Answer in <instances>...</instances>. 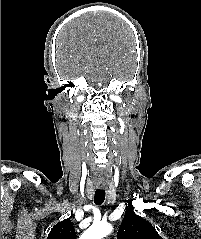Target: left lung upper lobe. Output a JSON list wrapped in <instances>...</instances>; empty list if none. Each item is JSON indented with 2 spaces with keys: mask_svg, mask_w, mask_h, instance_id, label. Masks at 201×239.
<instances>
[{
  "mask_svg": "<svg viewBox=\"0 0 201 239\" xmlns=\"http://www.w3.org/2000/svg\"><path fill=\"white\" fill-rule=\"evenodd\" d=\"M117 239H162L152 224L133 212L130 203L117 233Z\"/></svg>",
  "mask_w": 201,
  "mask_h": 239,
  "instance_id": "1",
  "label": "left lung upper lobe"
}]
</instances>
